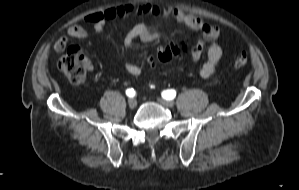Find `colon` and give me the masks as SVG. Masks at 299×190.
Instances as JSON below:
<instances>
[{"mask_svg":"<svg viewBox=\"0 0 299 190\" xmlns=\"http://www.w3.org/2000/svg\"><path fill=\"white\" fill-rule=\"evenodd\" d=\"M182 49L178 44H171L162 47L158 54L151 59L153 65L159 63H168L178 55ZM248 62V55L245 51H238L234 54L232 64L235 68H242ZM87 61L82 48L79 45L73 44L69 46L67 52L61 57L59 61V68L61 72L69 79V81L81 86L85 84L87 79Z\"/></svg>","mask_w":299,"mask_h":190,"instance_id":"5ec220e1","label":"colon"}]
</instances>
